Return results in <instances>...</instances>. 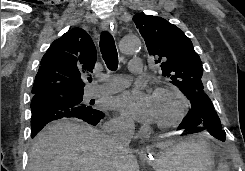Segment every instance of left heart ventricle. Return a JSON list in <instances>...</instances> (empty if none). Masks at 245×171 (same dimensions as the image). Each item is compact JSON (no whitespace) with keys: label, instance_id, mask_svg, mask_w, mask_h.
Masks as SVG:
<instances>
[{"label":"left heart ventricle","instance_id":"left-heart-ventricle-1","mask_svg":"<svg viewBox=\"0 0 245 171\" xmlns=\"http://www.w3.org/2000/svg\"><path fill=\"white\" fill-rule=\"evenodd\" d=\"M156 113H157V122L166 121L171 118L178 108L176 99L167 94L162 95H153Z\"/></svg>","mask_w":245,"mask_h":171}]
</instances>
